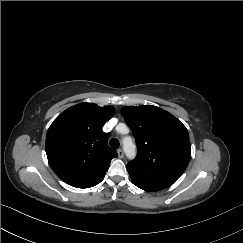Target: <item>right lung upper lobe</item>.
Instances as JSON below:
<instances>
[{
    "label": "right lung upper lobe",
    "instance_id": "1",
    "mask_svg": "<svg viewBox=\"0 0 243 243\" xmlns=\"http://www.w3.org/2000/svg\"><path fill=\"white\" fill-rule=\"evenodd\" d=\"M114 115L112 106L80 103L62 112L46 136L48 162L65 183L86 186L103 178L117 152L108 146L103 125Z\"/></svg>",
    "mask_w": 243,
    "mask_h": 243
}]
</instances>
